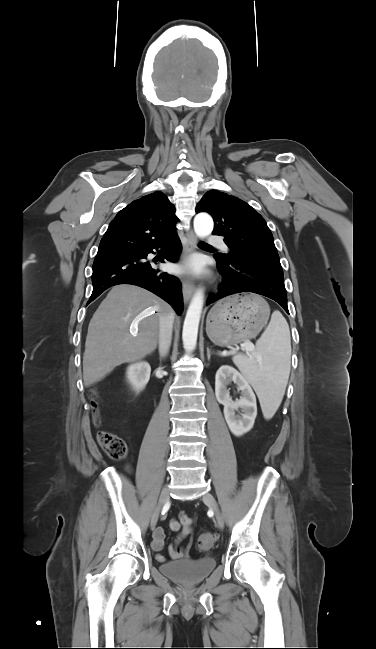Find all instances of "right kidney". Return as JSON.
<instances>
[{
	"label": "right kidney",
	"mask_w": 376,
	"mask_h": 649,
	"mask_svg": "<svg viewBox=\"0 0 376 649\" xmlns=\"http://www.w3.org/2000/svg\"><path fill=\"white\" fill-rule=\"evenodd\" d=\"M151 367L147 362H136L127 368L126 377L133 390L140 392L150 379Z\"/></svg>",
	"instance_id": "obj_1"
}]
</instances>
